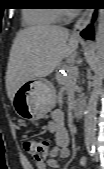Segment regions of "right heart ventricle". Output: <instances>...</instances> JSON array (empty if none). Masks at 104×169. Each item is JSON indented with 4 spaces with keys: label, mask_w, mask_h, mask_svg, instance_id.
Instances as JSON below:
<instances>
[{
    "label": "right heart ventricle",
    "mask_w": 104,
    "mask_h": 169,
    "mask_svg": "<svg viewBox=\"0 0 104 169\" xmlns=\"http://www.w3.org/2000/svg\"><path fill=\"white\" fill-rule=\"evenodd\" d=\"M24 17L32 24L50 25L60 20L61 11L56 8L29 9L24 13Z\"/></svg>",
    "instance_id": "obj_1"
}]
</instances>
